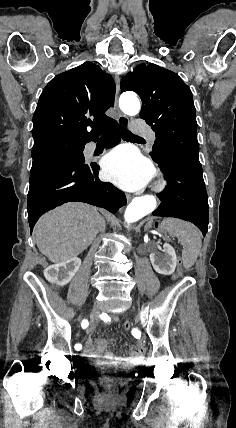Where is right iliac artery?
<instances>
[{
	"instance_id": "obj_1",
	"label": "right iliac artery",
	"mask_w": 236,
	"mask_h": 428,
	"mask_svg": "<svg viewBox=\"0 0 236 428\" xmlns=\"http://www.w3.org/2000/svg\"><path fill=\"white\" fill-rule=\"evenodd\" d=\"M88 325H89V323H88L87 319H84L82 321V323H81V326H82L83 329H86L88 327ZM74 348H75V350L79 351V350L82 349V345L81 344H76Z\"/></svg>"
}]
</instances>
